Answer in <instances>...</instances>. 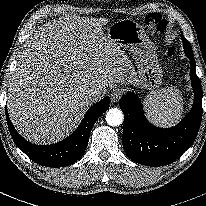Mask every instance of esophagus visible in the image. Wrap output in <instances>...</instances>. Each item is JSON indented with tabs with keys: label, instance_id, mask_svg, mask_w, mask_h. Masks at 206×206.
<instances>
[{
	"label": "esophagus",
	"instance_id": "obj_1",
	"mask_svg": "<svg viewBox=\"0 0 206 206\" xmlns=\"http://www.w3.org/2000/svg\"><path fill=\"white\" fill-rule=\"evenodd\" d=\"M124 93V89L122 87H115L111 93V101L113 103H117Z\"/></svg>",
	"mask_w": 206,
	"mask_h": 206
}]
</instances>
